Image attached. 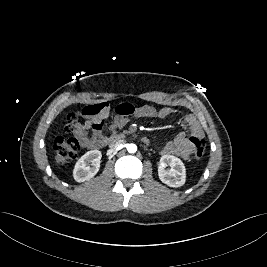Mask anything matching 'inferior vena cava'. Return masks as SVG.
Returning a JSON list of instances; mask_svg holds the SVG:
<instances>
[{"label": "inferior vena cava", "mask_w": 267, "mask_h": 267, "mask_svg": "<svg viewBox=\"0 0 267 267\" xmlns=\"http://www.w3.org/2000/svg\"><path fill=\"white\" fill-rule=\"evenodd\" d=\"M125 143V140L123 139H116L113 142L110 143L109 147L112 149H116L119 146L123 145Z\"/></svg>", "instance_id": "602c4592"}]
</instances>
